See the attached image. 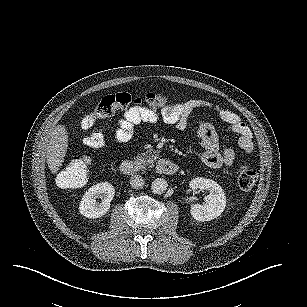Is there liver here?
<instances>
[{"label":"liver","mask_w":307,"mask_h":307,"mask_svg":"<svg viewBox=\"0 0 307 307\" xmlns=\"http://www.w3.org/2000/svg\"><path fill=\"white\" fill-rule=\"evenodd\" d=\"M66 132L63 126L55 128L51 134V138L47 150V163L52 172H56L61 166L62 159L66 152Z\"/></svg>","instance_id":"6515ba94"}]
</instances>
